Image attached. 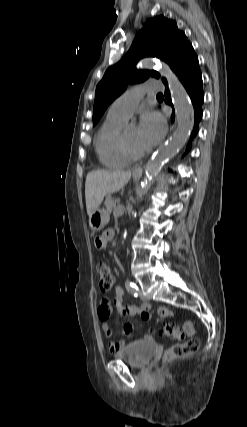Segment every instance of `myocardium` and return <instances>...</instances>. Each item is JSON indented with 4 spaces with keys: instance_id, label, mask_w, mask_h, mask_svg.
Listing matches in <instances>:
<instances>
[{
    "instance_id": "1",
    "label": "myocardium",
    "mask_w": 247,
    "mask_h": 427,
    "mask_svg": "<svg viewBox=\"0 0 247 427\" xmlns=\"http://www.w3.org/2000/svg\"><path fill=\"white\" fill-rule=\"evenodd\" d=\"M120 147L122 150V153L124 154V156L129 160V161H136V160H140L143 157L146 156L147 151L143 150V151H134L128 144L126 137H125V132L121 133L120 136Z\"/></svg>"
}]
</instances>
